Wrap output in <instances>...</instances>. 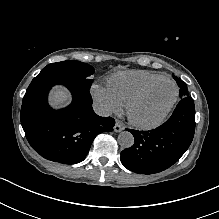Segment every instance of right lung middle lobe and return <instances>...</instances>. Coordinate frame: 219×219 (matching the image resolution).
<instances>
[{
  "mask_svg": "<svg viewBox=\"0 0 219 219\" xmlns=\"http://www.w3.org/2000/svg\"><path fill=\"white\" fill-rule=\"evenodd\" d=\"M95 72L94 68L86 63L79 61H62L47 65L38 75L42 76H58L79 81L82 86L90 89L92 80L90 76Z\"/></svg>",
  "mask_w": 219,
  "mask_h": 219,
  "instance_id": "obj_1",
  "label": "right lung middle lobe"
}]
</instances>
